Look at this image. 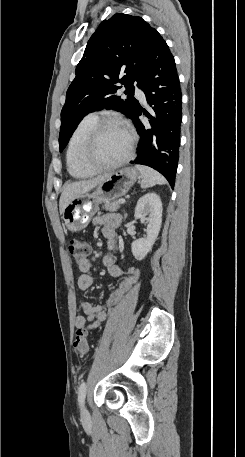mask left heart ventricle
Wrapping results in <instances>:
<instances>
[{"mask_svg": "<svg viewBox=\"0 0 245 457\" xmlns=\"http://www.w3.org/2000/svg\"><path fill=\"white\" fill-rule=\"evenodd\" d=\"M128 145L127 134L122 129L110 127L103 131L97 144L89 149L86 157L94 166L105 165L120 157Z\"/></svg>", "mask_w": 245, "mask_h": 457, "instance_id": "obj_1", "label": "left heart ventricle"}]
</instances>
